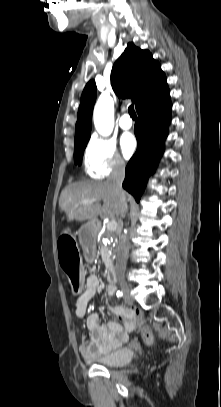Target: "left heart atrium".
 Listing matches in <instances>:
<instances>
[{
    "label": "left heart atrium",
    "instance_id": "39dd6f15",
    "mask_svg": "<svg viewBox=\"0 0 221 407\" xmlns=\"http://www.w3.org/2000/svg\"><path fill=\"white\" fill-rule=\"evenodd\" d=\"M121 149L125 157H130L136 149V140L130 133H125L121 137Z\"/></svg>",
    "mask_w": 221,
    "mask_h": 407
}]
</instances>
